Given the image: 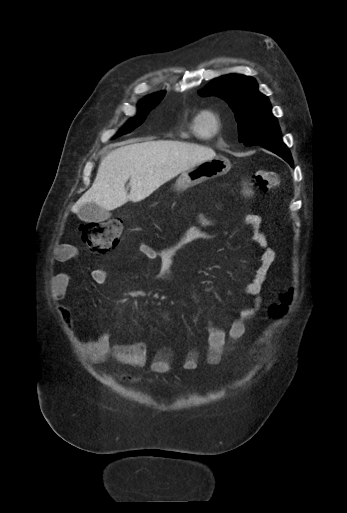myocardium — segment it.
<instances>
[{"label":"myocardium","instance_id":"f54148a6","mask_svg":"<svg viewBox=\"0 0 347 513\" xmlns=\"http://www.w3.org/2000/svg\"><path fill=\"white\" fill-rule=\"evenodd\" d=\"M197 125L204 136L212 137L222 129V117L215 110L205 109L198 114Z\"/></svg>","mask_w":347,"mask_h":513}]
</instances>
